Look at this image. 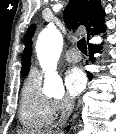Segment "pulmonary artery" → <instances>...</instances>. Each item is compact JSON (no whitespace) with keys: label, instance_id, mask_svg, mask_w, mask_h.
I'll list each match as a JSON object with an SVG mask.
<instances>
[{"label":"pulmonary artery","instance_id":"e3ab8cb5","mask_svg":"<svg viewBox=\"0 0 116 134\" xmlns=\"http://www.w3.org/2000/svg\"><path fill=\"white\" fill-rule=\"evenodd\" d=\"M65 59L68 62L77 63L81 60V55L78 53L77 50L71 49L65 53ZM35 70H37V69H35Z\"/></svg>","mask_w":116,"mask_h":134}]
</instances>
